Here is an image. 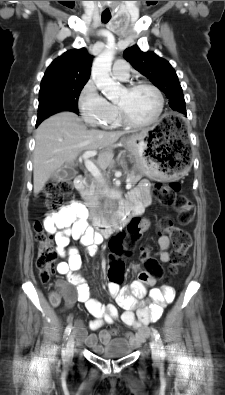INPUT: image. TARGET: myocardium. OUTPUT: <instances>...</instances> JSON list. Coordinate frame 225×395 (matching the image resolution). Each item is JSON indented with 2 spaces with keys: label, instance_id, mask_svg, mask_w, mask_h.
<instances>
[{
  "label": "myocardium",
  "instance_id": "myocardium-1",
  "mask_svg": "<svg viewBox=\"0 0 225 395\" xmlns=\"http://www.w3.org/2000/svg\"><path fill=\"white\" fill-rule=\"evenodd\" d=\"M139 88H148L154 92V94L157 98V110H156V113L154 114V116L150 120L145 121V122H136V121L131 120L127 116L125 110L123 109V107L121 105L116 104L120 121L124 125L133 127V128H144V127H149V126L155 124L159 120V118L163 112V108H164L163 95H162L161 91L159 90V88L156 87L155 85L145 82V81H139V82L131 83L125 87V89L129 92L135 91Z\"/></svg>",
  "mask_w": 225,
  "mask_h": 395
}]
</instances>
